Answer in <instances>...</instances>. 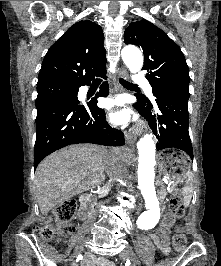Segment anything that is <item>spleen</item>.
Masks as SVG:
<instances>
[{"mask_svg": "<svg viewBox=\"0 0 221 266\" xmlns=\"http://www.w3.org/2000/svg\"><path fill=\"white\" fill-rule=\"evenodd\" d=\"M191 181H192V173L190 172L189 178L186 181V186L183 187L184 201L186 204H189L191 200L190 194L192 193V190H193L192 186L190 185Z\"/></svg>", "mask_w": 221, "mask_h": 266, "instance_id": "obj_1", "label": "spleen"}]
</instances>
